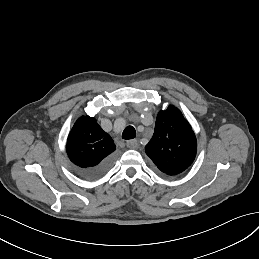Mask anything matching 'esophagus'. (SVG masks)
<instances>
[{
  "instance_id": "34e87169",
  "label": "esophagus",
  "mask_w": 259,
  "mask_h": 259,
  "mask_svg": "<svg viewBox=\"0 0 259 259\" xmlns=\"http://www.w3.org/2000/svg\"><path fill=\"white\" fill-rule=\"evenodd\" d=\"M127 147H128V148H131V149L137 148V147H138V142H137V140H129V141L127 142Z\"/></svg>"
}]
</instances>
